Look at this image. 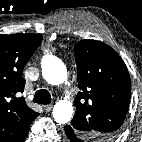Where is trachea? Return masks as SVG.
Wrapping results in <instances>:
<instances>
[{
  "label": "trachea",
  "mask_w": 142,
  "mask_h": 142,
  "mask_svg": "<svg viewBox=\"0 0 142 142\" xmlns=\"http://www.w3.org/2000/svg\"><path fill=\"white\" fill-rule=\"evenodd\" d=\"M33 102L38 104H50L51 103V95L50 93L45 89L38 90L33 98Z\"/></svg>",
  "instance_id": "1"
}]
</instances>
